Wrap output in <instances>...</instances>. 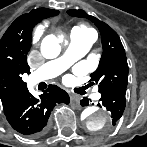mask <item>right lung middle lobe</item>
Wrapping results in <instances>:
<instances>
[{"label": "right lung middle lobe", "mask_w": 147, "mask_h": 147, "mask_svg": "<svg viewBox=\"0 0 147 147\" xmlns=\"http://www.w3.org/2000/svg\"><path fill=\"white\" fill-rule=\"evenodd\" d=\"M29 34H30V35L32 34V28L29 29Z\"/></svg>", "instance_id": "1"}]
</instances>
